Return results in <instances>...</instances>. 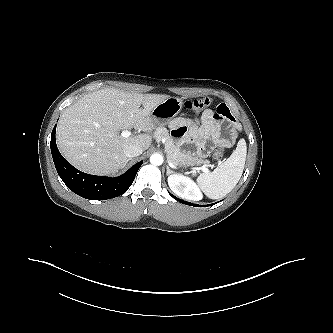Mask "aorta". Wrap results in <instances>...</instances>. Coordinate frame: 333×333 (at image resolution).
Returning <instances> with one entry per match:
<instances>
[{"mask_svg":"<svg viewBox=\"0 0 333 333\" xmlns=\"http://www.w3.org/2000/svg\"><path fill=\"white\" fill-rule=\"evenodd\" d=\"M150 162L152 165H155V166H159L163 163V157L162 155L160 154H153L151 157H150Z\"/></svg>","mask_w":333,"mask_h":333,"instance_id":"aorta-1","label":"aorta"}]
</instances>
